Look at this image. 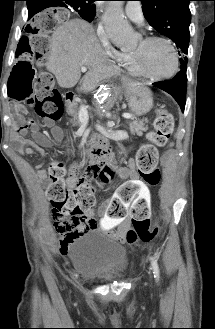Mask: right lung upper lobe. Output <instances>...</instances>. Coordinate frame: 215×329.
Instances as JSON below:
<instances>
[{
	"instance_id": "1",
	"label": "right lung upper lobe",
	"mask_w": 215,
	"mask_h": 329,
	"mask_svg": "<svg viewBox=\"0 0 215 329\" xmlns=\"http://www.w3.org/2000/svg\"><path fill=\"white\" fill-rule=\"evenodd\" d=\"M38 1H41L43 9H45L48 7H64V5H66L65 1H69V0H38ZM74 1H81L84 4H87L95 8L94 2L96 0H74Z\"/></svg>"
}]
</instances>
